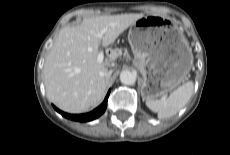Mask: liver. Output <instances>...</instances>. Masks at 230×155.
<instances>
[{
	"label": "liver",
	"mask_w": 230,
	"mask_h": 155,
	"mask_svg": "<svg viewBox=\"0 0 230 155\" xmlns=\"http://www.w3.org/2000/svg\"><path fill=\"white\" fill-rule=\"evenodd\" d=\"M144 14H120L85 18L80 25L62 28L44 68L47 97L61 110L82 113L98 106L109 87L107 62H97L99 45L115 42ZM104 31L103 38L98 33Z\"/></svg>",
	"instance_id": "liver-1"
}]
</instances>
